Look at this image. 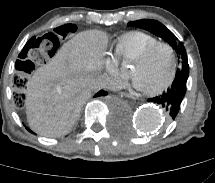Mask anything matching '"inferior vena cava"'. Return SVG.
Segmentation results:
<instances>
[{
    "label": "inferior vena cava",
    "instance_id": "1",
    "mask_svg": "<svg viewBox=\"0 0 215 183\" xmlns=\"http://www.w3.org/2000/svg\"><path fill=\"white\" fill-rule=\"evenodd\" d=\"M111 85V79L107 75H101L89 84V88L93 91H97L100 88H110Z\"/></svg>",
    "mask_w": 215,
    "mask_h": 183
}]
</instances>
